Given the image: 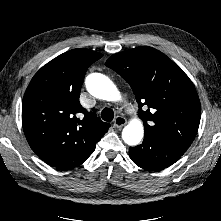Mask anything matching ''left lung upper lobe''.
I'll return each instance as SVG.
<instances>
[{"label": "left lung upper lobe", "instance_id": "left-lung-upper-lobe-1", "mask_svg": "<svg viewBox=\"0 0 221 221\" xmlns=\"http://www.w3.org/2000/svg\"><path fill=\"white\" fill-rule=\"evenodd\" d=\"M106 66L131 86L144 122L145 135L186 151L200 123L196 89L181 68L152 47H138L112 55ZM145 106L147 110L141 108Z\"/></svg>", "mask_w": 221, "mask_h": 221}]
</instances>
